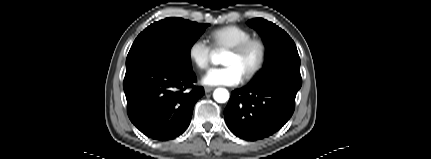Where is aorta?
<instances>
[{
  "instance_id": "aorta-1",
  "label": "aorta",
  "mask_w": 431,
  "mask_h": 159,
  "mask_svg": "<svg viewBox=\"0 0 431 159\" xmlns=\"http://www.w3.org/2000/svg\"><path fill=\"white\" fill-rule=\"evenodd\" d=\"M211 60L213 64H220L222 56L220 54H213ZM213 97L218 103H225L229 99V92L224 88H217L213 93Z\"/></svg>"
}]
</instances>
